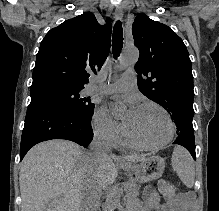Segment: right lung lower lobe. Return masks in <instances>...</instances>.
<instances>
[{
    "instance_id": "98d812e1",
    "label": "right lung lower lobe",
    "mask_w": 219,
    "mask_h": 211,
    "mask_svg": "<svg viewBox=\"0 0 219 211\" xmlns=\"http://www.w3.org/2000/svg\"><path fill=\"white\" fill-rule=\"evenodd\" d=\"M91 118L75 113L52 95H31L21 137L20 161L31 147L46 140L66 139L87 147L93 139Z\"/></svg>"
}]
</instances>
